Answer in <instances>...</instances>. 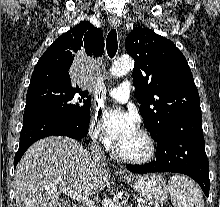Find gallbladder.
I'll list each match as a JSON object with an SVG mask.
<instances>
[{"label":"gallbladder","instance_id":"bac80fb5","mask_svg":"<svg viewBox=\"0 0 220 207\" xmlns=\"http://www.w3.org/2000/svg\"><path fill=\"white\" fill-rule=\"evenodd\" d=\"M66 202L65 201H60L57 207H65Z\"/></svg>","mask_w":220,"mask_h":207}]
</instances>
